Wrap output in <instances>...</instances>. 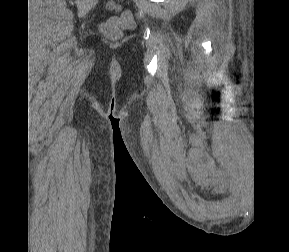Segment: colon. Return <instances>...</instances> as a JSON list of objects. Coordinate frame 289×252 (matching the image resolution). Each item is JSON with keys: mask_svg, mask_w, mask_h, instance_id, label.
Listing matches in <instances>:
<instances>
[{"mask_svg": "<svg viewBox=\"0 0 289 252\" xmlns=\"http://www.w3.org/2000/svg\"><path fill=\"white\" fill-rule=\"evenodd\" d=\"M114 7L113 4H111ZM133 25V15L130 11L125 10L119 17H113L102 25L103 33L111 38H117L121 34V29L131 27Z\"/></svg>", "mask_w": 289, "mask_h": 252, "instance_id": "obj_1", "label": "colon"}]
</instances>
